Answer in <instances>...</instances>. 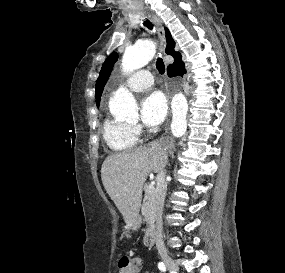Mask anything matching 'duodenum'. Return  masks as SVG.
<instances>
[{
  "instance_id": "1",
  "label": "duodenum",
  "mask_w": 285,
  "mask_h": 273,
  "mask_svg": "<svg viewBox=\"0 0 285 273\" xmlns=\"http://www.w3.org/2000/svg\"><path fill=\"white\" fill-rule=\"evenodd\" d=\"M155 242V226L151 225L149 230L146 232L144 236V244L146 246H151Z\"/></svg>"
}]
</instances>
